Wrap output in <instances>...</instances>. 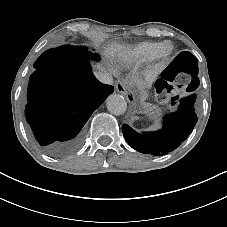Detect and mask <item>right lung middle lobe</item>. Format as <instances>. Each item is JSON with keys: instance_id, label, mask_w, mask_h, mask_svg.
Listing matches in <instances>:
<instances>
[{"instance_id": "dd1d6c3e", "label": "right lung middle lobe", "mask_w": 227, "mask_h": 227, "mask_svg": "<svg viewBox=\"0 0 227 227\" xmlns=\"http://www.w3.org/2000/svg\"><path fill=\"white\" fill-rule=\"evenodd\" d=\"M70 46V45H69ZM71 49H73V52L80 55V57L83 59L85 63L89 64V59H98V55L91 54L87 51L86 47L83 46H70Z\"/></svg>"}]
</instances>
